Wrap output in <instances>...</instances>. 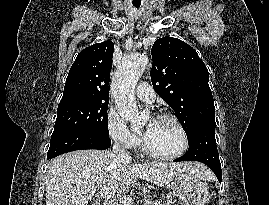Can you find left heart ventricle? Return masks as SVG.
<instances>
[{
	"mask_svg": "<svg viewBox=\"0 0 269 205\" xmlns=\"http://www.w3.org/2000/svg\"><path fill=\"white\" fill-rule=\"evenodd\" d=\"M142 130L146 144L157 153L171 154L180 150L183 145L179 130L170 121L147 122Z\"/></svg>",
	"mask_w": 269,
	"mask_h": 205,
	"instance_id": "obj_1",
	"label": "left heart ventricle"
}]
</instances>
